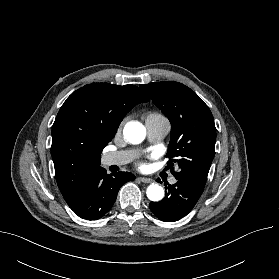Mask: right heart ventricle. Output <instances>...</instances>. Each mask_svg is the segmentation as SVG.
<instances>
[{
  "instance_id": "1",
  "label": "right heart ventricle",
  "mask_w": 279,
  "mask_h": 279,
  "mask_svg": "<svg viewBox=\"0 0 279 279\" xmlns=\"http://www.w3.org/2000/svg\"><path fill=\"white\" fill-rule=\"evenodd\" d=\"M161 118H165V117L156 112H150L146 115V121L151 119H161Z\"/></svg>"
}]
</instances>
